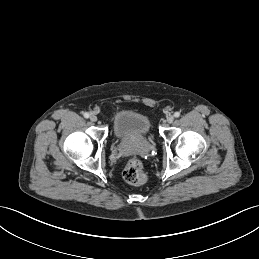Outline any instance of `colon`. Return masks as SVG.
<instances>
[{"mask_svg": "<svg viewBox=\"0 0 259 259\" xmlns=\"http://www.w3.org/2000/svg\"><path fill=\"white\" fill-rule=\"evenodd\" d=\"M123 177L129 184H143L146 181V173L142 162L138 158L130 159L123 170Z\"/></svg>", "mask_w": 259, "mask_h": 259, "instance_id": "1", "label": "colon"}]
</instances>
